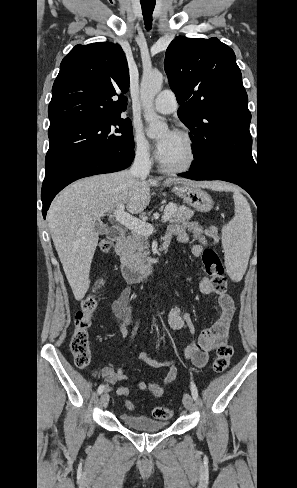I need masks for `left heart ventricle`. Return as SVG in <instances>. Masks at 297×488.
I'll list each match as a JSON object with an SVG mask.
<instances>
[{
	"mask_svg": "<svg viewBox=\"0 0 297 488\" xmlns=\"http://www.w3.org/2000/svg\"><path fill=\"white\" fill-rule=\"evenodd\" d=\"M159 156L167 165L180 166L188 161L190 152L185 140L176 134Z\"/></svg>",
	"mask_w": 297,
	"mask_h": 488,
	"instance_id": "obj_1",
	"label": "left heart ventricle"
}]
</instances>
